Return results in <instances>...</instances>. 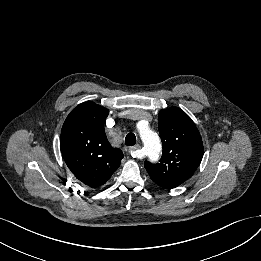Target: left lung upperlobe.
I'll use <instances>...</instances> for the list:
<instances>
[{
    "mask_svg": "<svg viewBox=\"0 0 261 261\" xmlns=\"http://www.w3.org/2000/svg\"><path fill=\"white\" fill-rule=\"evenodd\" d=\"M159 133L163 144L160 162H145L150 178L159 186L171 189L192 176L203 157L201 136L191 118L180 108L159 112Z\"/></svg>",
    "mask_w": 261,
    "mask_h": 261,
    "instance_id": "5c2ea615",
    "label": "left lung upper lobe"
}]
</instances>
